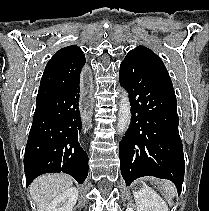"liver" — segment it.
<instances>
[{"instance_id":"6515ba94","label":"liver","mask_w":209,"mask_h":211,"mask_svg":"<svg viewBox=\"0 0 209 211\" xmlns=\"http://www.w3.org/2000/svg\"><path fill=\"white\" fill-rule=\"evenodd\" d=\"M73 178L67 174H46L36 178L30 185V194L37 211H45L50 202L70 188Z\"/></svg>"}]
</instances>
